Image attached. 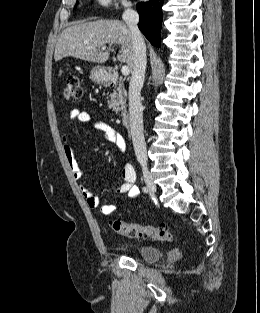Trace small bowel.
<instances>
[{
    "label": "small bowel",
    "instance_id": "1",
    "mask_svg": "<svg viewBox=\"0 0 260 313\" xmlns=\"http://www.w3.org/2000/svg\"><path fill=\"white\" fill-rule=\"evenodd\" d=\"M70 119H76L83 123H88L92 126L93 129L99 131L103 134L104 138L114 143L120 152H124L126 149V144L123 137L118 133V131L113 128L111 125L93 118L92 115L87 111H82L79 109H73L69 114ZM63 142V152L66 159V162L69 166L71 174L74 179L80 180L82 178V171L79 167V164L75 158L74 148L69 142V134L65 131L62 135ZM122 177L123 181L120 186L117 188L118 194L127 195L129 200H134L138 195L135 182H136V173L133 166L129 163H125L122 168ZM79 190L84 197L87 205L90 208H100V212L103 215L110 214L115 206L114 204H103L100 205V201L96 195L84 184L79 185Z\"/></svg>",
    "mask_w": 260,
    "mask_h": 313
}]
</instances>
